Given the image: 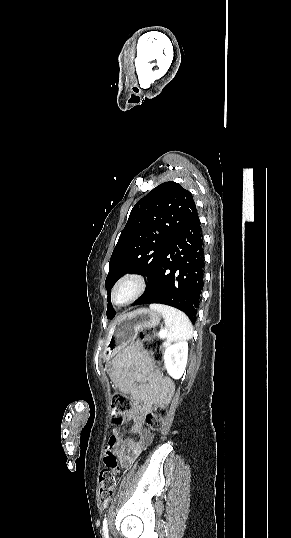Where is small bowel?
<instances>
[{"mask_svg":"<svg viewBox=\"0 0 291 538\" xmlns=\"http://www.w3.org/2000/svg\"><path fill=\"white\" fill-rule=\"evenodd\" d=\"M115 388L128 395L134 408L124 417L132 424L131 432L137 438H123L119 429L112 430L106 447H111L117 459L113 470L129 468L152 442V435L144 426V417L162 396L168 400L173 386L162 379L160 371L141 350L133 346L121 354H112L106 365Z\"/></svg>","mask_w":291,"mask_h":538,"instance_id":"obj_1","label":"small bowel"}]
</instances>
